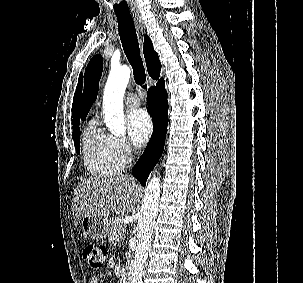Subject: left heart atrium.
<instances>
[{
  "label": "left heart atrium",
  "mask_w": 303,
  "mask_h": 283,
  "mask_svg": "<svg viewBox=\"0 0 303 283\" xmlns=\"http://www.w3.org/2000/svg\"><path fill=\"white\" fill-rule=\"evenodd\" d=\"M151 120L144 109H135L127 115L128 137L135 146H143L151 134Z\"/></svg>",
  "instance_id": "left-heart-atrium-1"
}]
</instances>
